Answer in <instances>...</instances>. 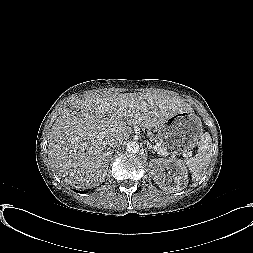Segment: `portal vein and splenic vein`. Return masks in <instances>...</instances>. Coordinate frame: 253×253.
I'll return each instance as SVG.
<instances>
[{"mask_svg":"<svg viewBox=\"0 0 253 253\" xmlns=\"http://www.w3.org/2000/svg\"><path fill=\"white\" fill-rule=\"evenodd\" d=\"M154 150L157 151L161 155H168V153L165 150H162L159 145H154L153 146Z\"/></svg>","mask_w":253,"mask_h":253,"instance_id":"obj_1","label":"portal vein and splenic vein"}]
</instances>
